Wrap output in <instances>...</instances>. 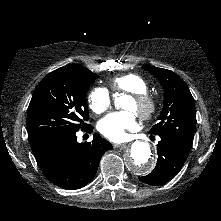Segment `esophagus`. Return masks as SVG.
I'll list each match as a JSON object with an SVG mask.
<instances>
[{"instance_id":"1","label":"esophagus","mask_w":221,"mask_h":221,"mask_svg":"<svg viewBox=\"0 0 221 221\" xmlns=\"http://www.w3.org/2000/svg\"><path fill=\"white\" fill-rule=\"evenodd\" d=\"M127 143H123V144H114V148H124L126 147Z\"/></svg>"}]
</instances>
